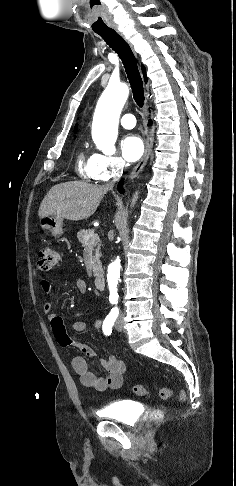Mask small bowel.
Segmentation results:
<instances>
[{
	"instance_id": "obj_1",
	"label": "small bowel",
	"mask_w": 236,
	"mask_h": 486,
	"mask_svg": "<svg viewBox=\"0 0 236 486\" xmlns=\"http://www.w3.org/2000/svg\"><path fill=\"white\" fill-rule=\"evenodd\" d=\"M76 287L81 292H86L88 286L86 282L82 279L75 280ZM40 286L43 294L47 298L44 303L43 309L47 314L48 320L54 332V335L58 343L65 346H75L86 356L95 358L96 354L94 350L81 342L74 341L66 331L63 320L56 313L52 312V304L48 298L52 295V285L47 278H42L40 280ZM103 322L101 319H95L91 323V328L94 330H99L103 327ZM87 325L85 322L76 321L71 326L72 333H81L85 331ZM102 367L105 369V375L102 377L97 376L95 373L89 370L88 363L86 359L82 356H75L71 365L75 373L80 377L81 383L88 388H92L96 391H105L107 389H119L123 385L124 374L126 371L125 363L115 357H110L107 360L100 361Z\"/></svg>"
}]
</instances>
